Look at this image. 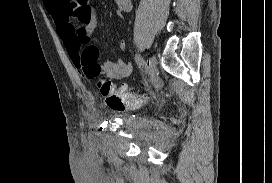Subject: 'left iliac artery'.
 <instances>
[{"label":"left iliac artery","mask_w":272,"mask_h":183,"mask_svg":"<svg viewBox=\"0 0 272 183\" xmlns=\"http://www.w3.org/2000/svg\"><path fill=\"white\" fill-rule=\"evenodd\" d=\"M135 61L139 66H144L145 65V60L139 54H135Z\"/></svg>","instance_id":"left-iliac-artery-1"}]
</instances>
